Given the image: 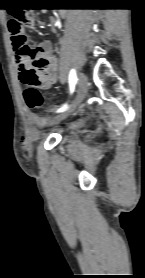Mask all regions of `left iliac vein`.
Listing matches in <instances>:
<instances>
[{
	"mask_svg": "<svg viewBox=\"0 0 145 278\" xmlns=\"http://www.w3.org/2000/svg\"><path fill=\"white\" fill-rule=\"evenodd\" d=\"M88 89V78L85 73L81 72L79 74V90L77 98L74 102V104L65 112L50 118L48 120L49 125H55L58 124L60 121L64 120L74 109L75 107L84 99Z\"/></svg>",
	"mask_w": 145,
	"mask_h": 278,
	"instance_id": "1",
	"label": "left iliac vein"
}]
</instances>
